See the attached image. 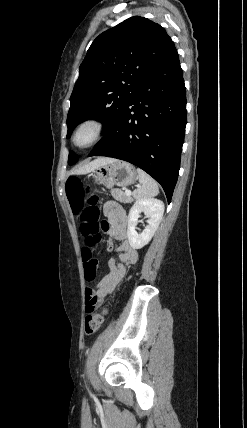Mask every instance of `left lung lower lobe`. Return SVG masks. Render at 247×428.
Here are the masks:
<instances>
[{
  "instance_id": "1",
  "label": "left lung lower lobe",
  "mask_w": 247,
  "mask_h": 428,
  "mask_svg": "<svg viewBox=\"0 0 247 428\" xmlns=\"http://www.w3.org/2000/svg\"><path fill=\"white\" fill-rule=\"evenodd\" d=\"M186 123V89L175 50L140 84L89 156L138 166L160 183L170 203Z\"/></svg>"
}]
</instances>
